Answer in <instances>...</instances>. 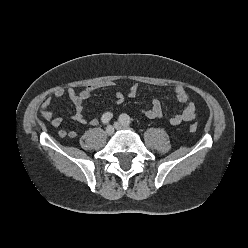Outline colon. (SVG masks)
<instances>
[{"instance_id": "obj_1", "label": "colon", "mask_w": 248, "mask_h": 248, "mask_svg": "<svg viewBox=\"0 0 248 248\" xmlns=\"http://www.w3.org/2000/svg\"><path fill=\"white\" fill-rule=\"evenodd\" d=\"M189 130H190L191 132H196V131H197V125H196L195 123L191 124V125L189 126Z\"/></svg>"}]
</instances>
